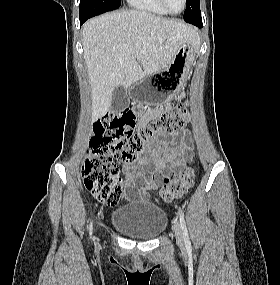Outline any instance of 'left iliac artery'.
<instances>
[{"instance_id": "obj_1", "label": "left iliac artery", "mask_w": 280, "mask_h": 285, "mask_svg": "<svg viewBox=\"0 0 280 285\" xmlns=\"http://www.w3.org/2000/svg\"><path fill=\"white\" fill-rule=\"evenodd\" d=\"M179 220H180V224H181V227H182L183 236H184V242H185L186 248L188 250H191L192 249L191 248V242H190V239H189L188 230H187V227H186V222H185L184 216L182 215L181 212H179Z\"/></svg>"}]
</instances>
